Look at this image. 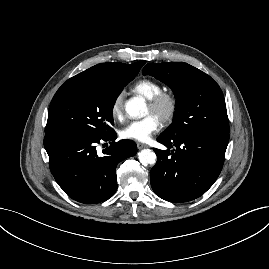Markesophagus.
<instances>
[{
    "mask_svg": "<svg viewBox=\"0 0 269 269\" xmlns=\"http://www.w3.org/2000/svg\"><path fill=\"white\" fill-rule=\"evenodd\" d=\"M138 149L148 148L149 146L143 143H137Z\"/></svg>",
    "mask_w": 269,
    "mask_h": 269,
    "instance_id": "esophagus-1",
    "label": "esophagus"
}]
</instances>
